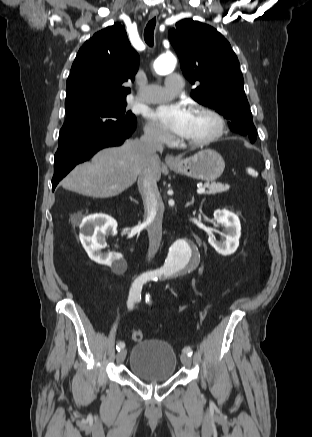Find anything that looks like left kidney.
<instances>
[{
    "instance_id": "obj_1",
    "label": "left kidney",
    "mask_w": 312,
    "mask_h": 437,
    "mask_svg": "<svg viewBox=\"0 0 312 437\" xmlns=\"http://www.w3.org/2000/svg\"><path fill=\"white\" fill-rule=\"evenodd\" d=\"M215 226L224 227V239L217 241L216 238L209 236V244L221 255L227 256L233 254L239 246L241 236V224L238 216L226 209L216 210L214 212Z\"/></svg>"
}]
</instances>
